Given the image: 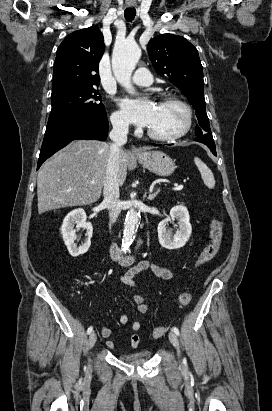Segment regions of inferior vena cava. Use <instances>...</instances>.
Returning <instances> with one entry per match:
<instances>
[{
    "label": "inferior vena cava",
    "mask_w": 272,
    "mask_h": 411,
    "mask_svg": "<svg viewBox=\"0 0 272 411\" xmlns=\"http://www.w3.org/2000/svg\"><path fill=\"white\" fill-rule=\"evenodd\" d=\"M112 130L109 133L111 139L110 155L108 159L106 176L104 180V200L103 203L109 210L110 225L114 224L121 212L122 205L119 200V163L121 146L127 142V134L129 131L128 122L120 117H111Z\"/></svg>",
    "instance_id": "1"
}]
</instances>
